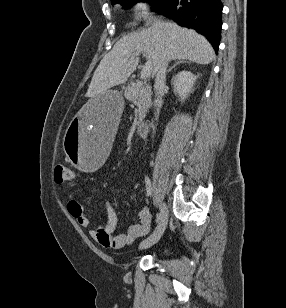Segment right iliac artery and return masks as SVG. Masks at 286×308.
I'll return each instance as SVG.
<instances>
[{
    "instance_id": "82829eb1",
    "label": "right iliac artery",
    "mask_w": 286,
    "mask_h": 308,
    "mask_svg": "<svg viewBox=\"0 0 286 308\" xmlns=\"http://www.w3.org/2000/svg\"><path fill=\"white\" fill-rule=\"evenodd\" d=\"M145 186H146V190H147L148 195H151V193H152L151 182H150V180L147 176L145 177ZM160 220H161V213H157L156 214V221L159 223Z\"/></svg>"
}]
</instances>
